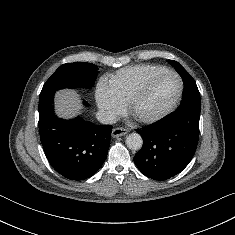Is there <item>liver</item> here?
Segmentation results:
<instances>
[{"label":"liver","instance_id":"1","mask_svg":"<svg viewBox=\"0 0 235 235\" xmlns=\"http://www.w3.org/2000/svg\"><path fill=\"white\" fill-rule=\"evenodd\" d=\"M56 114L64 119L75 117L81 107L78 94L75 90L64 89L55 95Z\"/></svg>","mask_w":235,"mask_h":235}]
</instances>
